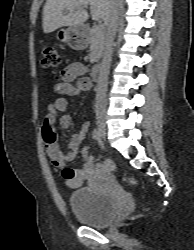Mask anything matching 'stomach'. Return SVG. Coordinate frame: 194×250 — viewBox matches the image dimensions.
Returning <instances> with one entry per match:
<instances>
[{"instance_id": "1", "label": "stomach", "mask_w": 194, "mask_h": 250, "mask_svg": "<svg viewBox=\"0 0 194 250\" xmlns=\"http://www.w3.org/2000/svg\"><path fill=\"white\" fill-rule=\"evenodd\" d=\"M56 38L76 50H82L87 46L86 30L83 25L69 26L60 30L57 32Z\"/></svg>"}]
</instances>
